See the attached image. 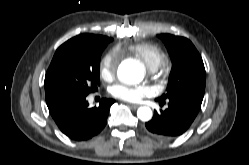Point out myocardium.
I'll use <instances>...</instances> for the list:
<instances>
[{"instance_id": "myocardium-1", "label": "myocardium", "mask_w": 249, "mask_h": 165, "mask_svg": "<svg viewBox=\"0 0 249 165\" xmlns=\"http://www.w3.org/2000/svg\"><path fill=\"white\" fill-rule=\"evenodd\" d=\"M155 79H156V82L159 84V83H162L163 82V78L159 75H156L155 76Z\"/></svg>"}]
</instances>
